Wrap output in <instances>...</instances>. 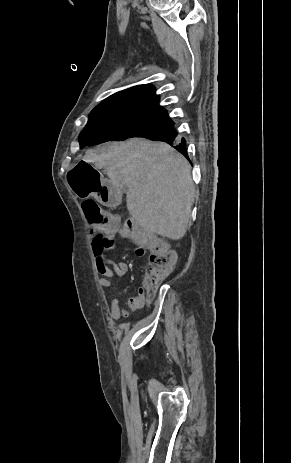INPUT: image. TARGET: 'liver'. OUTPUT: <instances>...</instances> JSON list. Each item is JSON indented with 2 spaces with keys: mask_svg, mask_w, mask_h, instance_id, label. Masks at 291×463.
Wrapping results in <instances>:
<instances>
[{
  "mask_svg": "<svg viewBox=\"0 0 291 463\" xmlns=\"http://www.w3.org/2000/svg\"><path fill=\"white\" fill-rule=\"evenodd\" d=\"M83 160L104 168L116 188H128L127 209L145 231L171 240L185 235L195 187L190 164L175 149L132 138L90 151Z\"/></svg>",
  "mask_w": 291,
  "mask_h": 463,
  "instance_id": "1",
  "label": "liver"
}]
</instances>
